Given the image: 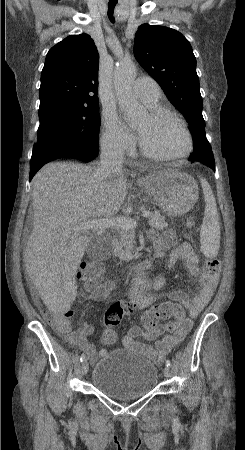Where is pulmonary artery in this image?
Masks as SVG:
<instances>
[{"label": "pulmonary artery", "instance_id": "e3ab8cb5", "mask_svg": "<svg viewBox=\"0 0 245 450\" xmlns=\"http://www.w3.org/2000/svg\"><path fill=\"white\" fill-rule=\"evenodd\" d=\"M131 90L136 98L151 107L158 104L162 95V91L157 82L148 76L137 79Z\"/></svg>", "mask_w": 245, "mask_h": 450}]
</instances>
